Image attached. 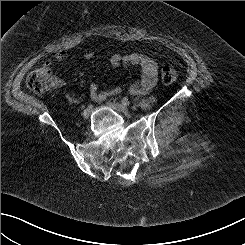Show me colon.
Wrapping results in <instances>:
<instances>
[{"instance_id":"obj_1","label":"colon","mask_w":245,"mask_h":245,"mask_svg":"<svg viewBox=\"0 0 245 245\" xmlns=\"http://www.w3.org/2000/svg\"><path fill=\"white\" fill-rule=\"evenodd\" d=\"M178 78V73L171 67H164L161 71V80L165 85L173 84ZM53 83L50 66H41L32 71L26 78V86L37 94L48 91Z\"/></svg>"}]
</instances>
